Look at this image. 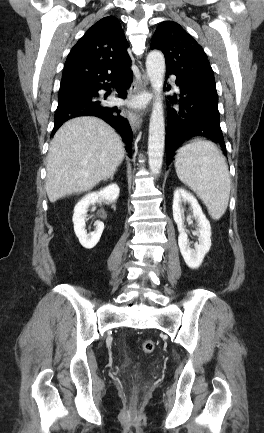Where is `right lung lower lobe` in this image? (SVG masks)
I'll return each mask as SVG.
<instances>
[{
	"mask_svg": "<svg viewBox=\"0 0 264 433\" xmlns=\"http://www.w3.org/2000/svg\"><path fill=\"white\" fill-rule=\"evenodd\" d=\"M132 72L128 66L116 71H101L94 74L75 75L61 81L58 107L54 116L52 136L67 120L84 115L96 116L110 124L122 136L127 151H131L132 130L121 110L109 103L99 90L115 87L118 97L125 98L131 85ZM110 82V83H106Z\"/></svg>",
	"mask_w": 264,
	"mask_h": 433,
	"instance_id": "obj_1",
	"label": "right lung lower lobe"
}]
</instances>
